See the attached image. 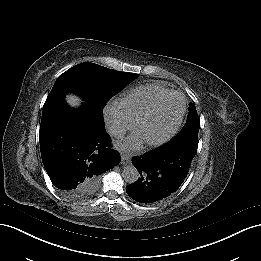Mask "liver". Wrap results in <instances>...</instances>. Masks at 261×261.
<instances>
[{
	"mask_svg": "<svg viewBox=\"0 0 261 261\" xmlns=\"http://www.w3.org/2000/svg\"><path fill=\"white\" fill-rule=\"evenodd\" d=\"M65 99L68 105L72 108H78L82 103V99L73 93L67 94Z\"/></svg>",
	"mask_w": 261,
	"mask_h": 261,
	"instance_id": "obj_1",
	"label": "liver"
}]
</instances>
